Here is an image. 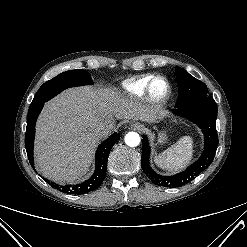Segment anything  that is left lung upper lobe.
Returning a JSON list of instances; mask_svg holds the SVG:
<instances>
[{
    "instance_id": "left-lung-upper-lobe-1",
    "label": "left lung upper lobe",
    "mask_w": 247,
    "mask_h": 247,
    "mask_svg": "<svg viewBox=\"0 0 247 247\" xmlns=\"http://www.w3.org/2000/svg\"><path fill=\"white\" fill-rule=\"evenodd\" d=\"M177 81L180 87L178 106L199 100L213 99L208 93L207 86L190 75L185 69L177 68Z\"/></svg>"
}]
</instances>
